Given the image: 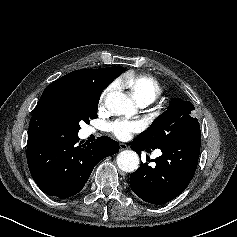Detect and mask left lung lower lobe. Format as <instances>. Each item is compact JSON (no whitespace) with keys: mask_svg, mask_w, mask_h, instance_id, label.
I'll list each match as a JSON object with an SVG mask.
<instances>
[{"mask_svg":"<svg viewBox=\"0 0 237 237\" xmlns=\"http://www.w3.org/2000/svg\"><path fill=\"white\" fill-rule=\"evenodd\" d=\"M201 132L199 124L193 126L178 142L161 147L162 156L142 163L130 176L131 189L142 200L152 204H165L180 195L192 180L200 154ZM131 149L139 156L150 151L141 141L131 142ZM155 162L150 166V162Z\"/></svg>","mask_w":237,"mask_h":237,"instance_id":"left-lung-lower-lobe-1","label":"left lung lower lobe"}]
</instances>
